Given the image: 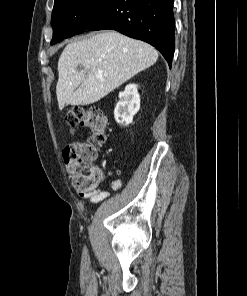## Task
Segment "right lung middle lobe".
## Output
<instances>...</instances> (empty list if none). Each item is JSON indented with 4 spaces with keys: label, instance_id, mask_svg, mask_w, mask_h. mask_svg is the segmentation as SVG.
Returning <instances> with one entry per match:
<instances>
[{
    "label": "right lung middle lobe",
    "instance_id": "right-lung-middle-lobe-1",
    "mask_svg": "<svg viewBox=\"0 0 247 296\" xmlns=\"http://www.w3.org/2000/svg\"><path fill=\"white\" fill-rule=\"evenodd\" d=\"M105 0H55L51 25L55 44L85 31L94 9Z\"/></svg>",
    "mask_w": 247,
    "mask_h": 296
}]
</instances>
